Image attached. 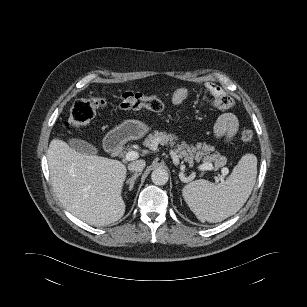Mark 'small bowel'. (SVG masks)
<instances>
[{
  "label": "small bowel",
  "mask_w": 307,
  "mask_h": 307,
  "mask_svg": "<svg viewBox=\"0 0 307 307\" xmlns=\"http://www.w3.org/2000/svg\"><path fill=\"white\" fill-rule=\"evenodd\" d=\"M202 86L211 95V104L220 110H227L231 106V99L224 91L216 84L212 82H203ZM190 90L187 87H180L176 89L172 95V104L175 106L181 105L189 97ZM239 127L237 117L226 112L222 114L213 129V134L216 139H223L225 142H229L237 133Z\"/></svg>",
  "instance_id": "obj_1"
}]
</instances>
